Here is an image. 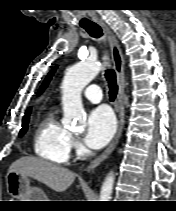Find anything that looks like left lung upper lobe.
<instances>
[{
  "instance_id": "5c2ea615",
  "label": "left lung upper lobe",
  "mask_w": 176,
  "mask_h": 211,
  "mask_svg": "<svg viewBox=\"0 0 176 211\" xmlns=\"http://www.w3.org/2000/svg\"><path fill=\"white\" fill-rule=\"evenodd\" d=\"M55 70H56V67L53 68V69L50 71V73L47 75V77H46L45 80H44V83L42 84V86H41V88H40V90H39V93H41V92L44 90V88L47 86V84L49 83V81H50L52 75L54 74Z\"/></svg>"
}]
</instances>
